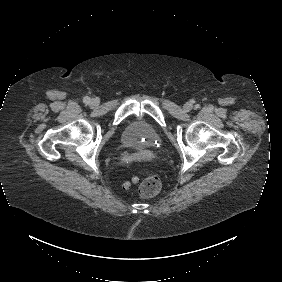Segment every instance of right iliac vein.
<instances>
[{"label":"right iliac vein","instance_id":"obj_1","mask_svg":"<svg viewBox=\"0 0 282 282\" xmlns=\"http://www.w3.org/2000/svg\"><path fill=\"white\" fill-rule=\"evenodd\" d=\"M90 104H91V106L96 107V106H98V101L95 100V99H92V100L90 101Z\"/></svg>","mask_w":282,"mask_h":282}]
</instances>
